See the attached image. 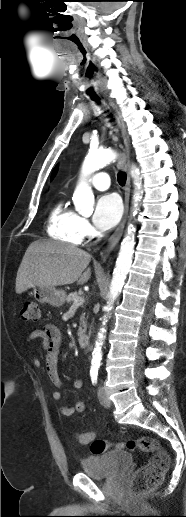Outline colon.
Returning <instances> with one entry per match:
<instances>
[{
	"mask_svg": "<svg viewBox=\"0 0 186 517\" xmlns=\"http://www.w3.org/2000/svg\"><path fill=\"white\" fill-rule=\"evenodd\" d=\"M21 317L23 320L37 321L40 317L38 303L36 301L25 302L21 310ZM78 440L84 441L86 438L78 437ZM89 443L93 455L105 453L111 447L130 451L142 450L152 454L149 462L140 467L132 478L130 493L133 497H141L157 488L170 465L167 452L156 439L150 437H140L115 444L102 439L90 438Z\"/></svg>",
	"mask_w": 186,
	"mask_h": 517,
	"instance_id": "obj_1",
	"label": "colon"
}]
</instances>
